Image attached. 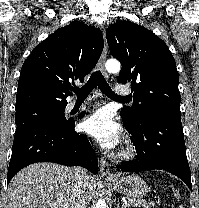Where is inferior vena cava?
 I'll return each instance as SVG.
<instances>
[{
    "instance_id": "1",
    "label": "inferior vena cava",
    "mask_w": 199,
    "mask_h": 208,
    "mask_svg": "<svg viewBox=\"0 0 199 208\" xmlns=\"http://www.w3.org/2000/svg\"><path fill=\"white\" fill-rule=\"evenodd\" d=\"M87 172L82 167L74 168L75 187L70 200V208H86V200L83 196V185Z\"/></svg>"
}]
</instances>
